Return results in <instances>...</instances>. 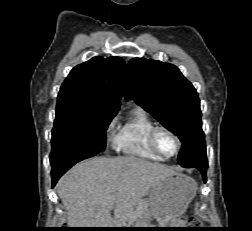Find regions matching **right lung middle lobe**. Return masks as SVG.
I'll return each mask as SVG.
<instances>
[{"instance_id":"dd1d6c3e","label":"right lung middle lobe","mask_w":252,"mask_h":231,"mask_svg":"<svg viewBox=\"0 0 252 231\" xmlns=\"http://www.w3.org/2000/svg\"><path fill=\"white\" fill-rule=\"evenodd\" d=\"M115 115L113 111L77 106L57 107L51 139V165L74 156L103 151L106 129Z\"/></svg>"}]
</instances>
